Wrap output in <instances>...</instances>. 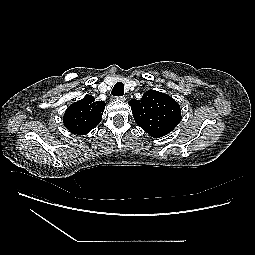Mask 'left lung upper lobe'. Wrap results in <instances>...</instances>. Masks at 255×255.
<instances>
[{
	"instance_id": "left-lung-upper-lobe-1",
	"label": "left lung upper lobe",
	"mask_w": 255,
	"mask_h": 255,
	"mask_svg": "<svg viewBox=\"0 0 255 255\" xmlns=\"http://www.w3.org/2000/svg\"><path fill=\"white\" fill-rule=\"evenodd\" d=\"M128 104L139 127L154 138L167 135L181 120L180 105L165 93L148 90Z\"/></svg>"
}]
</instances>
